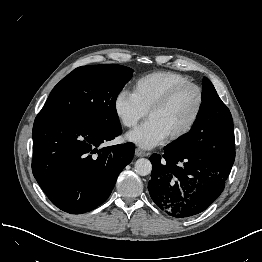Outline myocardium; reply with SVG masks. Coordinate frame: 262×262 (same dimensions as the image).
Instances as JSON below:
<instances>
[{
    "mask_svg": "<svg viewBox=\"0 0 262 262\" xmlns=\"http://www.w3.org/2000/svg\"><path fill=\"white\" fill-rule=\"evenodd\" d=\"M186 89H193L196 92L197 95V105L195 108V111L191 117V119L189 120V122L180 130H178L177 132L169 135L167 138L169 141H176L184 136H186L187 134H189L192 129L195 127L202 108H203V104H204V93L203 90L201 89L200 86H198L195 83H191V82H187V83H183L180 85L175 86L174 88H172L171 90H169L161 99H159L156 103H154L149 110L147 111V115L150 116L151 113L158 111L160 109H163L164 107H166L180 92H182L183 90Z\"/></svg>",
    "mask_w": 262,
    "mask_h": 262,
    "instance_id": "1",
    "label": "myocardium"
}]
</instances>
